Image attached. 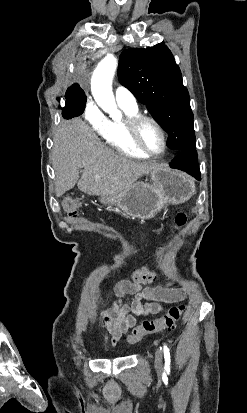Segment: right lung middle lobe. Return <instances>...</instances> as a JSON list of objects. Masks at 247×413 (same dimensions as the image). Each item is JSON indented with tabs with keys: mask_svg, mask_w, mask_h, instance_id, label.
Wrapping results in <instances>:
<instances>
[{
	"mask_svg": "<svg viewBox=\"0 0 247 413\" xmlns=\"http://www.w3.org/2000/svg\"><path fill=\"white\" fill-rule=\"evenodd\" d=\"M65 98V108L67 110L73 112L76 117L83 113L86 104V95L78 84H74L68 88Z\"/></svg>",
	"mask_w": 247,
	"mask_h": 413,
	"instance_id": "1",
	"label": "right lung middle lobe"
}]
</instances>
